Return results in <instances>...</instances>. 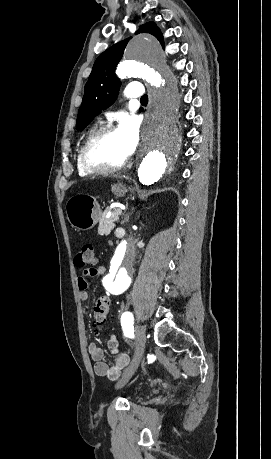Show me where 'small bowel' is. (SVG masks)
I'll return each instance as SVG.
<instances>
[{"label": "small bowel", "instance_id": "obj_1", "mask_svg": "<svg viewBox=\"0 0 271 459\" xmlns=\"http://www.w3.org/2000/svg\"><path fill=\"white\" fill-rule=\"evenodd\" d=\"M103 273V268H91L85 270L84 273L78 277L77 285L79 289V298L81 301H87L88 294V278L99 276ZM108 353L114 357V363L109 365L104 361V350L91 343L88 346V352L91 359L95 362L94 372L100 377H106L112 381L117 380L125 367L129 364V357L127 354L120 352L119 343L115 335L110 334L107 340Z\"/></svg>", "mask_w": 271, "mask_h": 459}]
</instances>
